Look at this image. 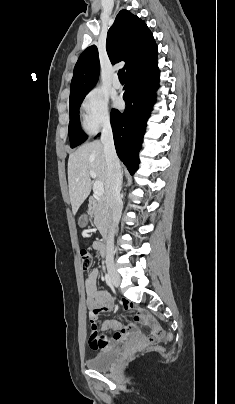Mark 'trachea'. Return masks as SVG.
Wrapping results in <instances>:
<instances>
[{
	"label": "trachea",
	"instance_id": "1",
	"mask_svg": "<svg viewBox=\"0 0 235 404\" xmlns=\"http://www.w3.org/2000/svg\"><path fill=\"white\" fill-rule=\"evenodd\" d=\"M118 77H119V80L120 81H125V71H124V69H120L119 70V72H118Z\"/></svg>",
	"mask_w": 235,
	"mask_h": 404
}]
</instances>
